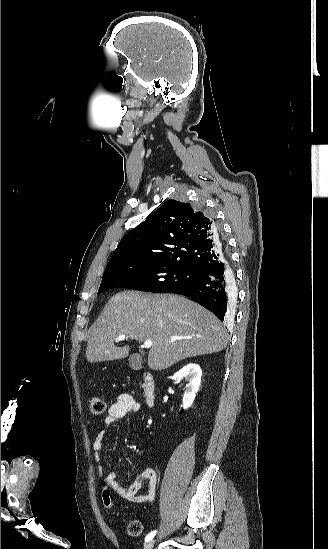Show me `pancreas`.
I'll return each instance as SVG.
<instances>
[{
	"label": "pancreas",
	"instance_id": "obj_1",
	"mask_svg": "<svg viewBox=\"0 0 328 549\" xmlns=\"http://www.w3.org/2000/svg\"><path fill=\"white\" fill-rule=\"evenodd\" d=\"M142 389H144V385H142Z\"/></svg>",
	"mask_w": 328,
	"mask_h": 549
}]
</instances>
